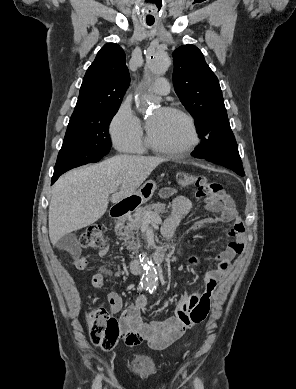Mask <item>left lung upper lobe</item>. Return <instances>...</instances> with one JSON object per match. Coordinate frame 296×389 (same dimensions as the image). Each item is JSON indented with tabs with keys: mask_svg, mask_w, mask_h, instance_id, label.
Returning a JSON list of instances; mask_svg holds the SVG:
<instances>
[{
	"mask_svg": "<svg viewBox=\"0 0 296 389\" xmlns=\"http://www.w3.org/2000/svg\"><path fill=\"white\" fill-rule=\"evenodd\" d=\"M175 92L194 117L201 139L228 120L219 81L194 45L177 48L173 54Z\"/></svg>",
	"mask_w": 296,
	"mask_h": 389,
	"instance_id": "left-lung-upper-lobe-1",
	"label": "left lung upper lobe"
}]
</instances>
